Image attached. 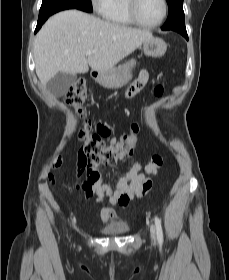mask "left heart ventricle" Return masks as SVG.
<instances>
[{
	"label": "left heart ventricle",
	"mask_w": 229,
	"mask_h": 280,
	"mask_svg": "<svg viewBox=\"0 0 229 280\" xmlns=\"http://www.w3.org/2000/svg\"><path fill=\"white\" fill-rule=\"evenodd\" d=\"M162 12L161 0H138L137 13L142 21L155 23L160 19Z\"/></svg>",
	"instance_id": "1"
}]
</instances>
